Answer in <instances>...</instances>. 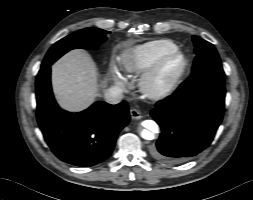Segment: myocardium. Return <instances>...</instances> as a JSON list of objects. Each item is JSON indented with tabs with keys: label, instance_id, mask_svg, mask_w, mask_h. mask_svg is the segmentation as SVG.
Returning a JSON list of instances; mask_svg holds the SVG:
<instances>
[{
	"label": "myocardium",
	"instance_id": "obj_1",
	"mask_svg": "<svg viewBox=\"0 0 253 200\" xmlns=\"http://www.w3.org/2000/svg\"><path fill=\"white\" fill-rule=\"evenodd\" d=\"M173 58L180 60L178 69L167 79L161 80L160 75L163 67ZM187 67V57L179 49L164 53L142 75L139 83L142 93L149 99H161L166 97L176 88L184 76Z\"/></svg>",
	"mask_w": 253,
	"mask_h": 200
}]
</instances>
